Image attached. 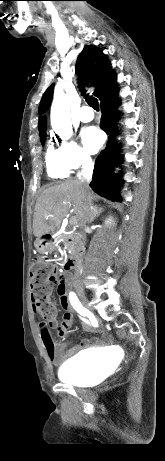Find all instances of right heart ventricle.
Segmentation results:
<instances>
[{"instance_id":"e07e8e85","label":"right heart ventricle","mask_w":165,"mask_h":461,"mask_svg":"<svg viewBox=\"0 0 165 461\" xmlns=\"http://www.w3.org/2000/svg\"><path fill=\"white\" fill-rule=\"evenodd\" d=\"M46 168L48 175L54 179L66 178L69 175V169L63 164L59 151L51 145L46 152Z\"/></svg>"}]
</instances>
